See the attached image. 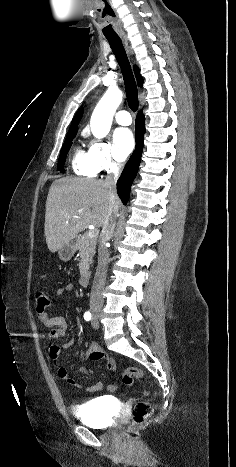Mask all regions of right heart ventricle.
<instances>
[{
	"label": "right heart ventricle",
	"mask_w": 236,
	"mask_h": 467,
	"mask_svg": "<svg viewBox=\"0 0 236 467\" xmlns=\"http://www.w3.org/2000/svg\"><path fill=\"white\" fill-rule=\"evenodd\" d=\"M72 169L75 174L84 177H96L97 171L92 167L88 153L82 150L80 147L74 152L72 158Z\"/></svg>",
	"instance_id": "e07e8e85"
}]
</instances>
